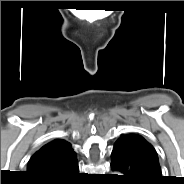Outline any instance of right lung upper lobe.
<instances>
[{
    "label": "right lung upper lobe",
    "instance_id": "1",
    "mask_svg": "<svg viewBox=\"0 0 184 184\" xmlns=\"http://www.w3.org/2000/svg\"><path fill=\"white\" fill-rule=\"evenodd\" d=\"M75 158L71 144L57 139L37 151L30 159L28 173L34 178L48 176L59 171Z\"/></svg>",
    "mask_w": 184,
    "mask_h": 184
}]
</instances>
